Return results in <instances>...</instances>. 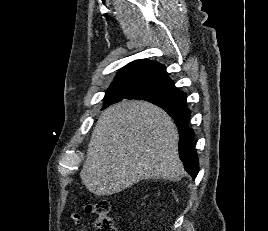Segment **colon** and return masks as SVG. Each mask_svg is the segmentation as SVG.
<instances>
[{
    "instance_id": "1",
    "label": "colon",
    "mask_w": 268,
    "mask_h": 231,
    "mask_svg": "<svg viewBox=\"0 0 268 231\" xmlns=\"http://www.w3.org/2000/svg\"><path fill=\"white\" fill-rule=\"evenodd\" d=\"M95 215L96 231H117L114 221L110 215V206L108 201L99 200L92 207Z\"/></svg>"
}]
</instances>
